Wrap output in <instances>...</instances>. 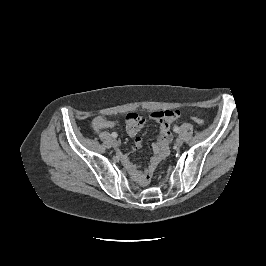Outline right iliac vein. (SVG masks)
Here are the masks:
<instances>
[{"label":"right iliac vein","mask_w":266,"mask_h":266,"mask_svg":"<svg viewBox=\"0 0 266 266\" xmlns=\"http://www.w3.org/2000/svg\"><path fill=\"white\" fill-rule=\"evenodd\" d=\"M112 144H113L114 147H117V146L119 145V141L116 140V139H114V140L112 141Z\"/></svg>","instance_id":"right-iliac-vein-1"}]
</instances>
